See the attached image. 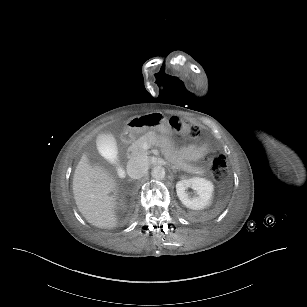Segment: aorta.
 Returning <instances> with one entry per match:
<instances>
[{
  "mask_svg": "<svg viewBox=\"0 0 307 307\" xmlns=\"http://www.w3.org/2000/svg\"><path fill=\"white\" fill-rule=\"evenodd\" d=\"M166 176L165 169L161 166H156L153 168L152 177L155 180H164Z\"/></svg>",
  "mask_w": 307,
  "mask_h": 307,
  "instance_id": "762f6f07",
  "label": "aorta"
}]
</instances>
